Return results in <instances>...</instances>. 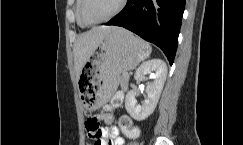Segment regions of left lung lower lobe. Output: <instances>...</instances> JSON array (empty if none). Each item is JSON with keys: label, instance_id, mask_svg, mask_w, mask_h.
<instances>
[{"label": "left lung lower lobe", "instance_id": "left-lung-lower-lobe-1", "mask_svg": "<svg viewBox=\"0 0 243 145\" xmlns=\"http://www.w3.org/2000/svg\"><path fill=\"white\" fill-rule=\"evenodd\" d=\"M185 0H128L105 25L124 27L157 45L173 64Z\"/></svg>", "mask_w": 243, "mask_h": 145}]
</instances>
